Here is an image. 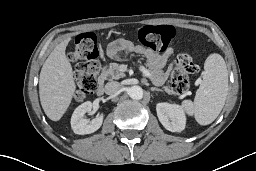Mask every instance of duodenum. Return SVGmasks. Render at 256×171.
Listing matches in <instances>:
<instances>
[{
  "label": "duodenum",
  "instance_id": "410a0bca",
  "mask_svg": "<svg viewBox=\"0 0 256 171\" xmlns=\"http://www.w3.org/2000/svg\"><path fill=\"white\" fill-rule=\"evenodd\" d=\"M96 92L98 95H102L104 93V77L100 76L97 87H96Z\"/></svg>",
  "mask_w": 256,
  "mask_h": 171
}]
</instances>
